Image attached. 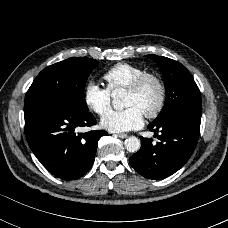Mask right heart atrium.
<instances>
[{
  "instance_id": "obj_1",
  "label": "right heart atrium",
  "mask_w": 228,
  "mask_h": 228,
  "mask_svg": "<svg viewBox=\"0 0 228 228\" xmlns=\"http://www.w3.org/2000/svg\"><path fill=\"white\" fill-rule=\"evenodd\" d=\"M83 99L89 109L102 115L110 108L112 95L108 87H103L95 80H89L84 88Z\"/></svg>"
}]
</instances>
